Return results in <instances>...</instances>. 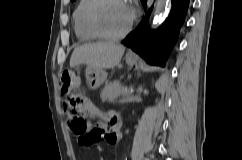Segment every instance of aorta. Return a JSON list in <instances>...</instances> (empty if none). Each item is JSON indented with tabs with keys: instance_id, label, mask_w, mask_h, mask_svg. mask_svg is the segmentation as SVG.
Wrapping results in <instances>:
<instances>
[{
	"instance_id": "aorta-1",
	"label": "aorta",
	"mask_w": 242,
	"mask_h": 160,
	"mask_svg": "<svg viewBox=\"0 0 242 160\" xmlns=\"http://www.w3.org/2000/svg\"><path fill=\"white\" fill-rule=\"evenodd\" d=\"M170 6H171V0H157L156 1L152 28H156L159 25L162 18L168 12Z\"/></svg>"
}]
</instances>
